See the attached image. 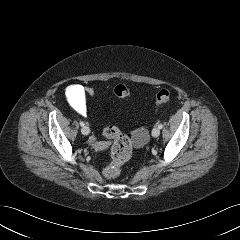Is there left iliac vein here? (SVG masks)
I'll list each match as a JSON object with an SVG mask.
<instances>
[{
	"label": "left iliac vein",
	"instance_id": "left-iliac-vein-1",
	"mask_svg": "<svg viewBox=\"0 0 240 240\" xmlns=\"http://www.w3.org/2000/svg\"><path fill=\"white\" fill-rule=\"evenodd\" d=\"M160 135V129L158 127H154L152 130V136L158 137Z\"/></svg>",
	"mask_w": 240,
	"mask_h": 240
}]
</instances>
